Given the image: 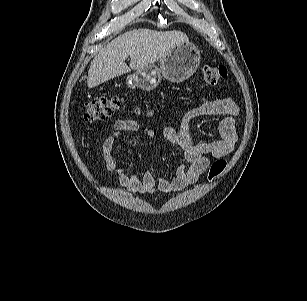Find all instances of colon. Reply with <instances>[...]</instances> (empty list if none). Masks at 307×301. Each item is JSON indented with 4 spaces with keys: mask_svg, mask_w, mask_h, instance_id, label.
<instances>
[{
    "mask_svg": "<svg viewBox=\"0 0 307 301\" xmlns=\"http://www.w3.org/2000/svg\"><path fill=\"white\" fill-rule=\"evenodd\" d=\"M227 76V69L223 65L206 64L203 67V85L213 87L218 85ZM122 105L118 96L100 95L91 97L85 104L84 119L89 122L103 121L111 117ZM226 167L222 159L213 163L210 169V178L219 175Z\"/></svg>",
    "mask_w": 307,
    "mask_h": 301,
    "instance_id": "obj_1",
    "label": "colon"
}]
</instances>
